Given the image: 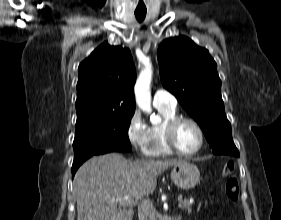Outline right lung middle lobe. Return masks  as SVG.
<instances>
[{"instance_id":"right-lung-middle-lobe-1","label":"right lung middle lobe","mask_w":281,"mask_h":220,"mask_svg":"<svg viewBox=\"0 0 281 220\" xmlns=\"http://www.w3.org/2000/svg\"><path fill=\"white\" fill-rule=\"evenodd\" d=\"M133 114L110 113L77 118L74 159L111 151L130 152L128 129Z\"/></svg>"}]
</instances>
